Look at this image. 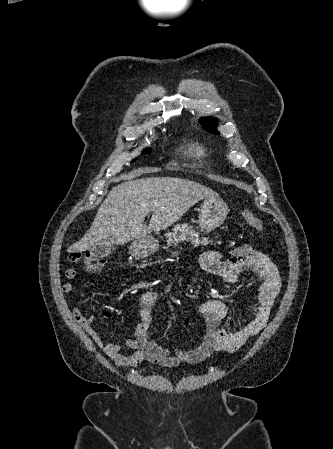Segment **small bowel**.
<instances>
[{
    "label": "small bowel",
    "mask_w": 333,
    "mask_h": 449,
    "mask_svg": "<svg viewBox=\"0 0 333 449\" xmlns=\"http://www.w3.org/2000/svg\"><path fill=\"white\" fill-rule=\"evenodd\" d=\"M201 268L210 274L218 275L229 285L236 284L244 272H251L257 280L258 303L253 313L241 321L236 329L227 328L222 320L226 316L227 306L221 300H206L197 307L207 322L205 333L200 344L188 350L169 349L158 345L150 339L148 331L153 319V311L159 295L146 291L140 297L138 312L142 319L133 334L126 339L125 346L131 352H125L124 346L115 342H103L93 326V317H85L79 308L71 313L87 332L91 340L117 365L123 368H134L142 363H150L162 367H175L180 363H197L209 357L214 351L234 352L242 348L247 340L262 331L269 319L271 309L281 290V279L274 263L263 253L248 245H241L233 250L232 257L223 260L216 251H208L200 258ZM77 275L75 268L65 271L68 279ZM71 283L62 286V295L72 294ZM104 317L110 312L102 311Z\"/></svg>",
    "instance_id": "obj_1"
}]
</instances>
